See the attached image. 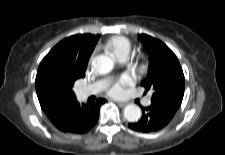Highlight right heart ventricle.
<instances>
[{"instance_id": "e07e8e85", "label": "right heart ventricle", "mask_w": 225, "mask_h": 155, "mask_svg": "<svg viewBox=\"0 0 225 155\" xmlns=\"http://www.w3.org/2000/svg\"><path fill=\"white\" fill-rule=\"evenodd\" d=\"M105 49L117 58L123 54L129 55L131 43L123 36H114L106 42Z\"/></svg>"}]
</instances>
